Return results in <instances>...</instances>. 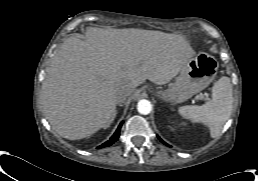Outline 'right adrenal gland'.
Segmentation results:
<instances>
[{
  "label": "right adrenal gland",
  "mask_w": 258,
  "mask_h": 181,
  "mask_svg": "<svg viewBox=\"0 0 258 181\" xmlns=\"http://www.w3.org/2000/svg\"><path fill=\"white\" fill-rule=\"evenodd\" d=\"M117 112H115L114 117L111 119V121L104 127V129L108 128L111 123L113 122L114 118L116 117Z\"/></svg>",
  "instance_id": "obj_1"
}]
</instances>
